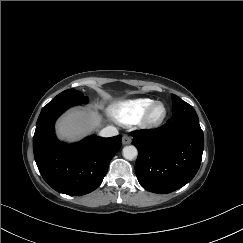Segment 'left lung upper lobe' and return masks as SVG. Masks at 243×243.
Returning a JSON list of instances; mask_svg holds the SVG:
<instances>
[{
    "label": "left lung upper lobe",
    "mask_w": 243,
    "mask_h": 243,
    "mask_svg": "<svg viewBox=\"0 0 243 243\" xmlns=\"http://www.w3.org/2000/svg\"><path fill=\"white\" fill-rule=\"evenodd\" d=\"M173 109H172V118L176 116H185L198 118L195 110L191 105L180 99L178 96L172 94Z\"/></svg>",
    "instance_id": "obj_1"
}]
</instances>
